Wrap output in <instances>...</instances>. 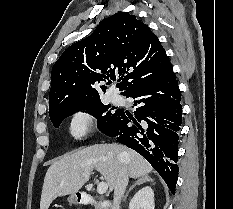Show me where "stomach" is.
Segmentation results:
<instances>
[{
    "instance_id": "stomach-1",
    "label": "stomach",
    "mask_w": 233,
    "mask_h": 209,
    "mask_svg": "<svg viewBox=\"0 0 233 209\" xmlns=\"http://www.w3.org/2000/svg\"><path fill=\"white\" fill-rule=\"evenodd\" d=\"M67 201L69 202V204H78L79 199L77 197V193L70 194L67 198Z\"/></svg>"
}]
</instances>
